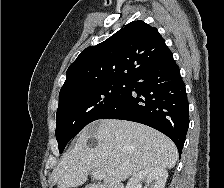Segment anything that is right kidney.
Instances as JSON below:
<instances>
[{"label": "right kidney", "instance_id": "1", "mask_svg": "<svg viewBox=\"0 0 224 188\" xmlns=\"http://www.w3.org/2000/svg\"><path fill=\"white\" fill-rule=\"evenodd\" d=\"M168 172L164 167L156 166L134 174L128 181L126 188H142V181L151 184L150 188H164Z\"/></svg>", "mask_w": 224, "mask_h": 188}]
</instances>
